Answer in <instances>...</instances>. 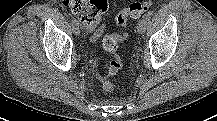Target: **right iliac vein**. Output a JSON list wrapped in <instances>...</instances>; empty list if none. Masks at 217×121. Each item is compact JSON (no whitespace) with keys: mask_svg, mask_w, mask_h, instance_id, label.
I'll list each match as a JSON object with an SVG mask.
<instances>
[{"mask_svg":"<svg viewBox=\"0 0 217 121\" xmlns=\"http://www.w3.org/2000/svg\"><path fill=\"white\" fill-rule=\"evenodd\" d=\"M73 32L75 35H79L80 34V29H79V25H73Z\"/></svg>","mask_w":217,"mask_h":121,"instance_id":"1","label":"right iliac vein"}]
</instances>
